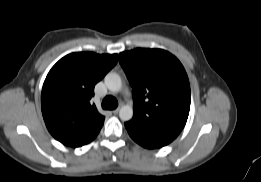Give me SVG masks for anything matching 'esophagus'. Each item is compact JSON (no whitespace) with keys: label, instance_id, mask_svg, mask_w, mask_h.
Instances as JSON below:
<instances>
[{"label":"esophagus","instance_id":"34e87169","mask_svg":"<svg viewBox=\"0 0 261 182\" xmlns=\"http://www.w3.org/2000/svg\"><path fill=\"white\" fill-rule=\"evenodd\" d=\"M118 112H119V108H117V109H115V110L112 111V113H113L114 115L118 114Z\"/></svg>","mask_w":261,"mask_h":182}]
</instances>
